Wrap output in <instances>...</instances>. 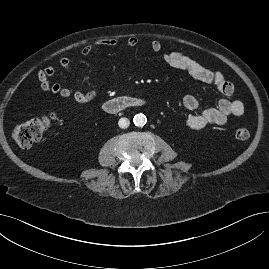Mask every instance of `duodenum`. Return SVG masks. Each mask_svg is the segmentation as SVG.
<instances>
[{
	"label": "duodenum",
	"mask_w": 269,
	"mask_h": 269,
	"mask_svg": "<svg viewBox=\"0 0 269 269\" xmlns=\"http://www.w3.org/2000/svg\"><path fill=\"white\" fill-rule=\"evenodd\" d=\"M146 101L136 97H118L104 102L103 109L109 114H116L128 108L142 107Z\"/></svg>",
	"instance_id": "duodenum-1"
}]
</instances>
